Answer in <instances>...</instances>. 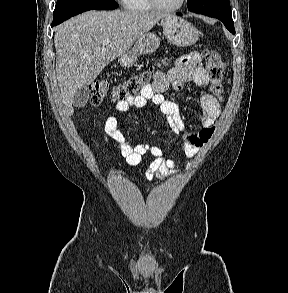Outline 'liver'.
Returning a JSON list of instances; mask_svg holds the SVG:
<instances>
[{
  "label": "liver",
  "mask_w": 288,
  "mask_h": 293,
  "mask_svg": "<svg viewBox=\"0 0 288 293\" xmlns=\"http://www.w3.org/2000/svg\"><path fill=\"white\" fill-rule=\"evenodd\" d=\"M168 15L139 11H87L55 28L56 78L60 98L72 115L75 92L93 83L114 59ZM110 39L104 48L101 41Z\"/></svg>",
  "instance_id": "6515ba94"
}]
</instances>
